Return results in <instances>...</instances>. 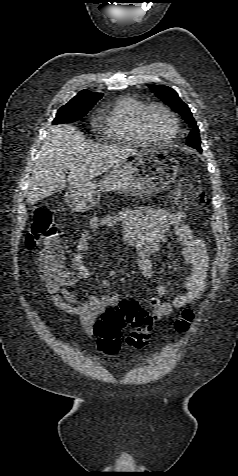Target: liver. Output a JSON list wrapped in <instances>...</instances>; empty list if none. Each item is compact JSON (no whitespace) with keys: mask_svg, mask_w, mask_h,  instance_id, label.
Masks as SVG:
<instances>
[{"mask_svg":"<svg viewBox=\"0 0 238 476\" xmlns=\"http://www.w3.org/2000/svg\"><path fill=\"white\" fill-rule=\"evenodd\" d=\"M137 151L128 146H97L70 125L49 128L36 161L27 193V203L70 186L92 180ZM68 170L67 181L65 171Z\"/></svg>","mask_w":238,"mask_h":476,"instance_id":"obj_1","label":"liver"}]
</instances>
